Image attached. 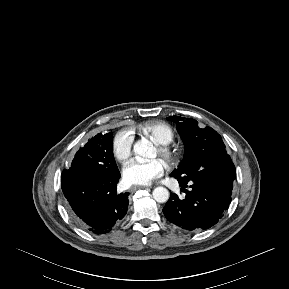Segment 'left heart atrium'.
Segmentation results:
<instances>
[{"instance_id":"39dd6f15","label":"left heart atrium","mask_w":289,"mask_h":289,"mask_svg":"<svg viewBox=\"0 0 289 289\" xmlns=\"http://www.w3.org/2000/svg\"><path fill=\"white\" fill-rule=\"evenodd\" d=\"M164 163L160 159L132 160L123 169V178L130 185H148L163 175Z\"/></svg>"}]
</instances>
